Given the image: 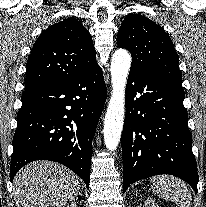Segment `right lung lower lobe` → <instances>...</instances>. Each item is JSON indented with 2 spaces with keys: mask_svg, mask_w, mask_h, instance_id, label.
Wrapping results in <instances>:
<instances>
[{
  "mask_svg": "<svg viewBox=\"0 0 206 207\" xmlns=\"http://www.w3.org/2000/svg\"><path fill=\"white\" fill-rule=\"evenodd\" d=\"M107 97L100 67L75 79L26 89L13 138L10 179L35 160L63 164L89 188L92 138Z\"/></svg>",
  "mask_w": 206,
  "mask_h": 207,
  "instance_id": "98d812e1",
  "label": "right lung lower lobe"
}]
</instances>
